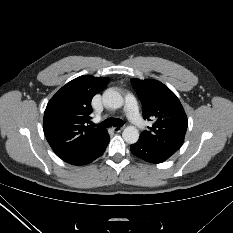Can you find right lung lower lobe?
Wrapping results in <instances>:
<instances>
[{"instance_id": "right-lung-lower-lobe-1", "label": "right lung lower lobe", "mask_w": 233, "mask_h": 233, "mask_svg": "<svg viewBox=\"0 0 233 233\" xmlns=\"http://www.w3.org/2000/svg\"><path fill=\"white\" fill-rule=\"evenodd\" d=\"M109 140H110V137L106 133L104 138L92 150H90L87 154L81 156L80 158H77L69 162V164L80 166V165H86V164L91 163L92 161H94L95 159H97L99 156H101L104 153Z\"/></svg>"}]
</instances>
